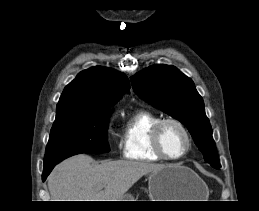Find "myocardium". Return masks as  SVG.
Returning a JSON list of instances; mask_svg holds the SVG:
<instances>
[{
	"label": "myocardium",
	"instance_id": "1",
	"mask_svg": "<svg viewBox=\"0 0 259 211\" xmlns=\"http://www.w3.org/2000/svg\"><path fill=\"white\" fill-rule=\"evenodd\" d=\"M167 124H175L177 125L182 132L184 133L186 140H187V146L185 148V150L179 154L178 156H169L168 154H166L163 145H162V140H161V134L163 131V128L167 125ZM152 146L154 151L162 158L168 161H177L180 159H183L185 156H187V154L191 151L192 146H193V138L192 135L190 133V131L188 130V128L186 127V125L176 119V118H164L161 119L153 128L152 131Z\"/></svg>",
	"mask_w": 259,
	"mask_h": 211
}]
</instances>
